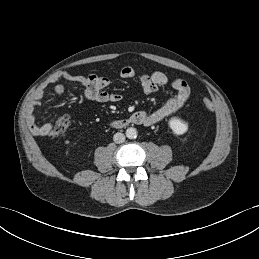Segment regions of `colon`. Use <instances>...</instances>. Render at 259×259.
Instances as JSON below:
<instances>
[{
    "label": "colon",
    "mask_w": 259,
    "mask_h": 259,
    "mask_svg": "<svg viewBox=\"0 0 259 259\" xmlns=\"http://www.w3.org/2000/svg\"><path fill=\"white\" fill-rule=\"evenodd\" d=\"M203 107L207 111H213V109H214L212 102L208 99L203 100ZM69 126H70L69 117L68 116L60 117L55 122V125L50 132V136L53 138H59V137L63 136L66 133V131L68 130Z\"/></svg>",
    "instance_id": "5ec220e1"
}]
</instances>
